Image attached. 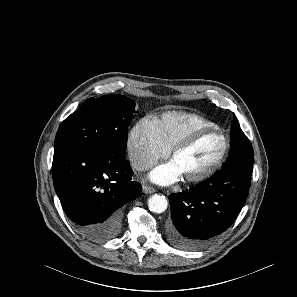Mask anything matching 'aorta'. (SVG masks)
Listing matches in <instances>:
<instances>
[{"label":"aorta","mask_w":297,"mask_h":297,"mask_svg":"<svg viewBox=\"0 0 297 297\" xmlns=\"http://www.w3.org/2000/svg\"><path fill=\"white\" fill-rule=\"evenodd\" d=\"M167 200L164 196L155 194L148 200L149 210L154 213H163L167 209Z\"/></svg>","instance_id":"aorta-1"}]
</instances>
